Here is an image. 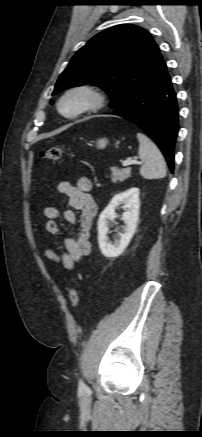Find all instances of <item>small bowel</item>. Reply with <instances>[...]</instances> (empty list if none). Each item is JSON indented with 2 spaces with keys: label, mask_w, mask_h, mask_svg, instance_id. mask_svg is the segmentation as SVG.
<instances>
[{
  "label": "small bowel",
  "mask_w": 202,
  "mask_h": 437,
  "mask_svg": "<svg viewBox=\"0 0 202 437\" xmlns=\"http://www.w3.org/2000/svg\"><path fill=\"white\" fill-rule=\"evenodd\" d=\"M91 190L92 182L87 177H80L75 184L60 182L56 185V192L66 196L68 200L69 209L64 211L63 218L70 225L79 221L80 230L77 234L65 238L64 251L60 254L50 248H44L42 253L45 258L67 270L74 269L92 250L90 229L98 206L91 195ZM77 212L80 213L79 219ZM43 216L46 231L52 235L61 236L63 232L58 225L59 210L51 206L45 207Z\"/></svg>",
  "instance_id": "1"
}]
</instances>
